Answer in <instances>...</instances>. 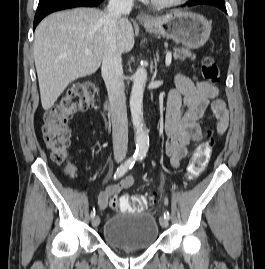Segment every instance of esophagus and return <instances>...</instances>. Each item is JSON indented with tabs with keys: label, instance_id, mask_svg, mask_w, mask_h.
<instances>
[{
	"label": "esophagus",
	"instance_id": "esophagus-1",
	"mask_svg": "<svg viewBox=\"0 0 265 269\" xmlns=\"http://www.w3.org/2000/svg\"><path fill=\"white\" fill-rule=\"evenodd\" d=\"M137 20L140 23H149L152 21V17L147 14L141 13L137 16Z\"/></svg>",
	"mask_w": 265,
	"mask_h": 269
}]
</instances>
